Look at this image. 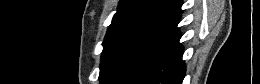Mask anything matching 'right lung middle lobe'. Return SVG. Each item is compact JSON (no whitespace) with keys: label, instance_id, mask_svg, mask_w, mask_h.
Masks as SVG:
<instances>
[{"label":"right lung middle lobe","instance_id":"obj_1","mask_svg":"<svg viewBox=\"0 0 260 84\" xmlns=\"http://www.w3.org/2000/svg\"><path fill=\"white\" fill-rule=\"evenodd\" d=\"M176 28L133 26L105 38L101 84L130 82L174 39Z\"/></svg>","mask_w":260,"mask_h":84}]
</instances>
